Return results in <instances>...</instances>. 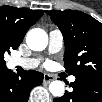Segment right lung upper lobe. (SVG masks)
<instances>
[{"mask_svg": "<svg viewBox=\"0 0 102 102\" xmlns=\"http://www.w3.org/2000/svg\"><path fill=\"white\" fill-rule=\"evenodd\" d=\"M43 13V10L1 6L0 43L17 49L30 26H32Z\"/></svg>", "mask_w": 102, "mask_h": 102, "instance_id": "right-lung-upper-lobe-1", "label": "right lung upper lobe"}]
</instances>
